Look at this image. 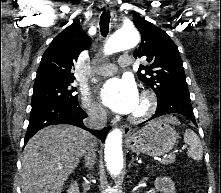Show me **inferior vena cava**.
I'll return each mask as SVG.
<instances>
[{
  "label": "inferior vena cava",
  "instance_id": "obj_1",
  "mask_svg": "<svg viewBox=\"0 0 221 193\" xmlns=\"http://www.w3.org/2000/svg\"><path fill=\"white\" fill-rule=\"evenodd\" d=\"M107 115L103 107L91 108L88 110V118L84 120V124L93 129H102L106 126ZM95 144L88 143L85 147L84 156L88 168H92L96 160Z\"/></svg>",
  "mask_w": 221,
  "mask_h": 193
}]
</instances>
